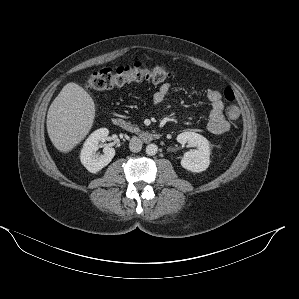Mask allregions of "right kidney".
I'll use <instances>...</instances> for the list:
<instances>
[{
  "mask_svg": "<svg viewBox=\"0 0 299 299\" xmlns=\"http://www.w3.org/2000/svg\"><path fill=\"white\" fill-rule=\"evenodd\" d=\"M107 128H100L94 131L84 143L81 150L80 160L84 167L91 173H97L107 166L115 156V149L105 146L103 154L97 155L100 142H105L108 138Z\"/></svg>",
  "mask_w": 299,
  "mask_h": 299,
  "instance_id": "ca27d5eb",
  "label": "right kidney"
}]
</instances>
